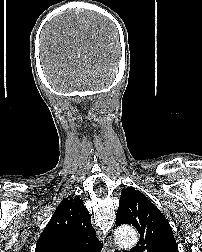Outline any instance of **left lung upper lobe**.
Listing matches in <instances>:
<instances>
[{
	"label": "left lung upper lobe",
	"instance_id": "1",
	"mask_svg": "<svg viewBox=\"0 0 202 252\" xmlns=\"http://www.w3.org/2000/svg\"><path fill=\"white\" fill-rule=\"evenodd\" d=\"M133 225L140 234L130 252H178L172 228L160 210L136 189L122 191L116 226Z\"/></svg>",
	"mask_w": 202,
	"mask_h": 252
}]
</instances>
